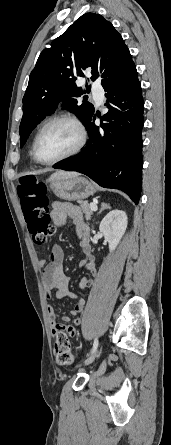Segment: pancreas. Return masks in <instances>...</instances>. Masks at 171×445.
<instances>
[{"label": "pancreas", "mask_w": 171, "mask_h": 445, "mask_svg": "<svg viewBox=\"0 0 171 445\" xmlns=\"http://www.w3.org/2000/svg\"><path fill=\"white\" fill-rule=\"evenodd\" d=\"M80 207H74V209H70L68 214L71 218L77 219L82 217V213L85 214L86 220H90L93 214V211L90 209V206L87 201H79Z\"/></svg>", "instance_id": "pancreas-1"}]
</instances>
